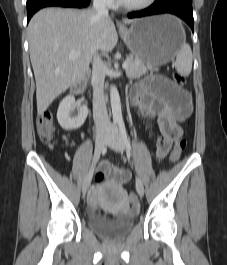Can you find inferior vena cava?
<instances>
[{"instance_id": "602c4592", "label": "inferior vena cava", "mask_w": 227, "mask_h": 265, "mask_svg": "<svg viewBox=\"0 0 227 265\" xmlns=\"http://www.w3.org/2000/svg\"><path fill=\"white\" fill-rule=\"evenodd\" d=\"M93 10L101 17H109L105 0H93ZM91 83L93 87V117L97 132H107L111 128L104 98L106 68L100 56L93 58Z\"/></svg>"}]
</instances>
